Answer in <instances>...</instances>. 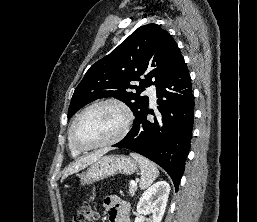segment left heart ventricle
I'll return each mask as SVG.
<instances>
[{"label": "left heart ventricle", "mask_w": 257, "mask_h": 222, "mask_svg": "<svg viewBox=\"0 0 257 222\" xmlns=\"http://www.w3.org/2000/svg\"><path fill=\"white\" fill-rule=\"evenodd\" d=\"M124 121L120 109L112 105L93 108L82 116L75 128V138L82 145H94L114 137Z\"/></svg>", "instance_id": "b2bd125f"}]
</instances>
